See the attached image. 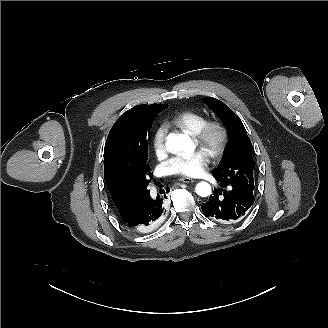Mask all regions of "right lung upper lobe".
<instances>
[{
  "label": "right lung upper lobe",
  "instance_id": "cb5924a9",
  "mask_svg": "<svg viewBox=\"0 0 328 328\" xmlns=\"http://www.w3.org/2000/svg\"><path fill=\"white\" fill-rule=\"evenodd\" d=\"M151 105H156L159 106L160 108H167L168 106L166 104H151ZM136 107H133L132 109L126 111L125 113L134 110ZM125 113H123L121 116H123ZM104 179L107 188L110 192V195L112 197V200L116 208L118 209V213L120 214V217L125 222L129 221L135 215L137 209L141 205L143 198H136L125 194L110 178V176L106 172V169H104Z\"/></svg>",
  "mask_w": 328,
  "mask_h": 328
}]
</instances>
